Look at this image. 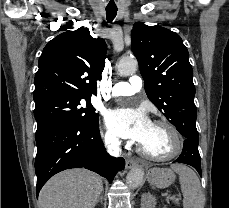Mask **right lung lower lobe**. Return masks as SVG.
<instances>
[{
    "label": "right lung lower lobe",
    "mask_w": 229,
    "mask_h": 208,
    "mask_svg": "<svg viewBox=\"0 0 229 208\" xmlns=\"http://www.w3.org/2000/svg\"><path fill=\"white\" fill-rule=\"evenodd\" d=\"M36 195L54 174L69 168L92 170L111 182L125 166L123 158L109 156L100 138L99 125L65 121L36 136Z\"/></svg>",
    "instance_id": "1"
}]
</instances>
